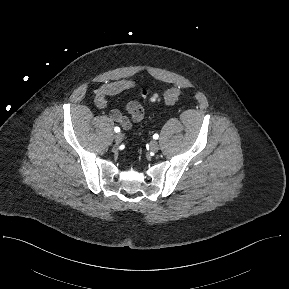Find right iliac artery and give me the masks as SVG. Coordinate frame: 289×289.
<instances>
[{
	"instance_id": "82829eb1",
	"label": "right iliac artery",
	"mask_w": 289,
	"mask_h": 289,
	"mask_svg": "<svg viewBox=\"0 0 289 289\" xmlns=\"http://www.w3.org/2000/svg\"><path fill=\"white\" fill-rule=\"evenodd\" d=\"M114 131H115L116 133H118V132H120V128H119V127H115V128H114Z\"/></svg>"
}]
</instances>
